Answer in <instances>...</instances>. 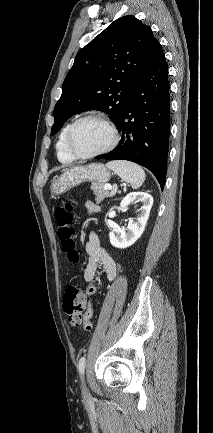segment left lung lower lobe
I'll use <instances>...</instances> for the list:
<instances>
[{
    "label": "left lung lower lobe",
    "instance_id": "1",
    "mask_svg": "<svg viewBox=\"0 0 213 433\" xmlns=\"http://www.w3.org/2000/svg\"><path fill=\"white\" fill-rule=\"evenodd\" d=\"M117 129L122 132L118 146L95 158L140 164L155 175L163 189L169 148L170 93L162 47L132 91Z\"/></svg>",
    "mask_w": 213,
    "mask_h": 433
}]
</instances>
